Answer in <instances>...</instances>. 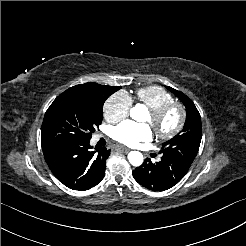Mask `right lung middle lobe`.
Instances as JSON below:
<instances>
[{
    "instance_id": "right-lung-middle-lobe-1",
    "label": "right lung middle lobe",
    "mask_w": 246,
    "mask_h": 246,
    "mask_svg": "<svg viewBox=\"0 0 246 246\" xmlns=\"http://www.w3.org/2000/svg\"><path fill=\"white\" fill-rule=\"evenodd\" d=\"M112 93L100 87L96 94L87 89L63 92L45 113L41 141H90L103 120V104Z\"/></svg>"
}]
</instances>
